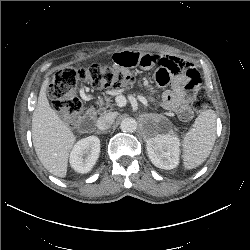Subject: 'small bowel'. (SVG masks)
Returning <instances> with one entry per match:
<instances>
[{"mask_svg": "<svg viewBox=\"0 0 250 250\" xmlns=\"http://www.w3.org/2000/svg\"><path fill=\"white\" fill-rule=\"evenodd\" d=\"M117 67L155 68V81L162 87H169L162 95L163 106L177 113L180 120L192 118L190 101L193 92L201 84L196 66L187 60L163 54L123 51L113 57Z\"/></svg>", "mask_w": 250, "mask_h": 250, "instance_id": "c3829d8e", "label": "small bowel"}]
</instances>
